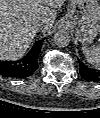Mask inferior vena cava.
<instances>
[{
    "label": "inferior vena cava",
    "instance_id": "obj_1",
    "mask_svg": "<svg viewBox=\"0 0 100 118\" xmlns=\"http://www.w3.org/2000/svg\"><path fill=\"white\" fill-rule=\"evenodd\" d=\"M33 28L35 32H40V31L45 32L46 30H48V26L42 22L35 24Z\"/></svg>",
    "mask_w": 100,
    "mask_h": 118
}]
</instances>
